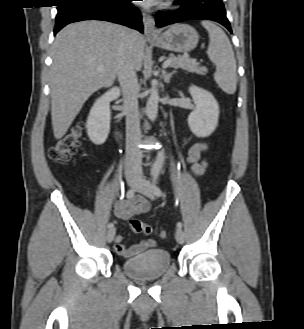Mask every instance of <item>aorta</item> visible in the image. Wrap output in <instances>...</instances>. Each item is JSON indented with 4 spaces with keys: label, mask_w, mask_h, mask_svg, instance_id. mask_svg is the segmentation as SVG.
<instances>
[{
    "label": "aorta",
    "mask_w": 304,
    "mask_h": 329,
    "mask_svg": "<svg viewBox=\"0 0 304 329\" xmlns=\"http://www.w3.org/2000/svg\"><path fill=\"white\" fill-rule=\"evenodd\" d=\"M159 93L157 88V81H152V87L150 89V96L148 98L147 104H146V115L151 121H155L158 114V103H159ZM164 152L160 151L157 154L156 161L153 165V169L158 171L162 168L164 163Z\"/></svg>",
    "instance_id": "762f6f07"
}]
</instances>
